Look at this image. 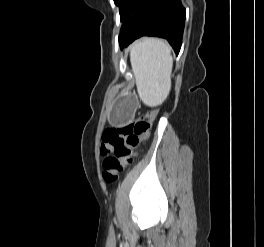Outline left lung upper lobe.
I'll list each match as a JSON object with an SVG mask.
<instances>
[{
    "label": "left lung upper lobe",
    "instance_id": "5c2ea615",
    "mask_svg": "<svg viewBox=\"0 0 264 247\" xmlns=\"http://www.w3.org/2000/svg\"><path fill=\"white\" fill-rule=\"evenodd\" d=\"M114 2L117 6H119L120 19L124 22L120 30L121 35L127 24L139 11L145 0H114Z\"/></svg>",
    "mask_w": 264,
    "mask_h": 247
}]
</instances>
